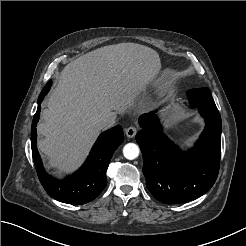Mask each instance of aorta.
I'll return each instance as SVG.
<instances>
[{"label":"aorta","instance_id":"762f6f07","mask_svg":"<svg viewBox=\"0 0 246 246\" xmlns=\"http://www.w3.org/2000/svg\"><path fill=\"white\" fill-rule=\"evenodd\" d=\"M139 147L134 143H128L123 148V155L126 159L133 160L139 155Z\"/></svg>","mask_w":246,"mask_h":246}]
</instances>
